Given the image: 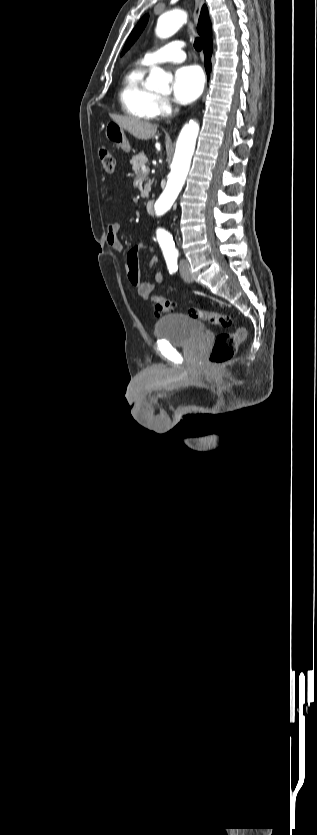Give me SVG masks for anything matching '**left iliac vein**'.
Here are the masks:
<instances>
[{
  "label": "left iliac vein",
  "instance_id": "4c4485c4",
  "mask_svg": "<svg viewBox=\"0 0 317 835\" xmlns=\"http://www.w3.org/2000/svg\"><path fill=\"white\" fill-rule=\"evenodd\" d=\"M180 274L181 277L188 283L193 282V277L191 275L190 266L187 260L183 259L180 262Z\"/></svg>",
  "mask_w": 317,
  "mask_h": 835
}]
</instances>
